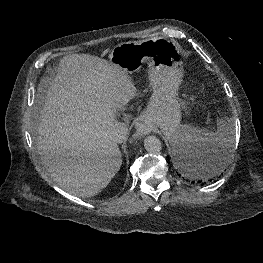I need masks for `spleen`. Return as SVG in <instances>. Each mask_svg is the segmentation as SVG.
<instances>
[{
	"label": "spleen",
	"mask_w": 263,
	"mask_h": 263,
	"mask_svg": "<svg viewBox=\"0 0 263 263\" xmlns=\"http://www.w3.org/2000/svg\"><path fill=\"white\" fill-rule=\"evenodd\" d=\"M170 143L174 151L179 149L185 152H195L209 144L222 146L224 155L220 165L216 168V172L220 173L226 168L234 147V129L230 122L224 120L217 122L215 132L190 125H182L171 138Z\"/></svg>",
	"instance_id": "obj_1"
}]
</instances>
